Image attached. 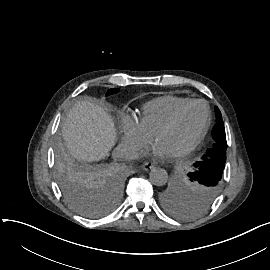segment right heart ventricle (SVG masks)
<instances>
[{
	"label": "right heart ventricle",
	"mask_w": 270,
	"mask_h": 270,
	"mask_svg": "<svg viewBox=\"0 0 270 270\" xmlns=\"http://www.w3.org/2000/svg\"><path fill=\"white\" fill-rule=\"evenodd\" d=\"M190 101L191 99L172 95L157 97L142 106L141 114L136 123L145 133L152 135L172 115Z\"/></svg>",
	"instance_id": "right-heart-ventricle-1"
}]
</instances>
